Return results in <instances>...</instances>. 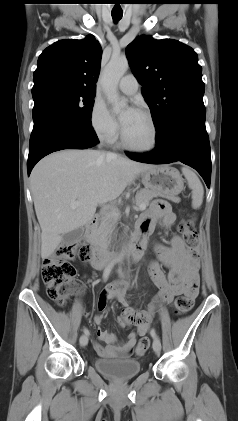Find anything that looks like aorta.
<instances>
[{"label":"aorta","mask_w":238,"mask_h":421,"mask_svg":"<svg viewBox=\"0 0 238 421\" xmlns=\"http://www.w3.org/2000/svg\"><path fill=\"white\" fill-rule=\"evenodd\" d=\"M128 68L129 63L126 58H112L107 64L102 77V87L105 96L117 112L126 107V103L120 101L118 83ZM123 257L124 253H121L120 258L123 259Z\"/></svg>","instance_id":"obj_1"}]
</instances>
